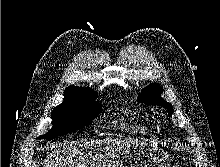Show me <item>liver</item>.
<instances>
[{
  "label": "liver",
  "instance_id": "liver-1",
  "mask_svg": "<svg viewBox=\"0 0 220 167\" xmlns=\"http://www.w3.org/2000/svg\"><path fill=\"white\" fill-rule=\"evenodd\" d=\"M131 143L135 141L122 138L66 142L47 155L43 167H113L121 149Z\"/></svg>",
  "mask_w": 220,
  "mask_h": 167
}]
</instances>
